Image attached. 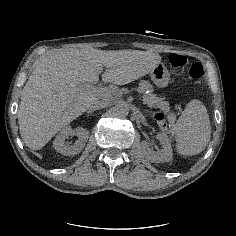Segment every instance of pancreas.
I'll use <instances>...</instances> for the list:
<instances>
[{
    "instance_id": "cf45deb5",
    "label": "pancreas",
    "mask_w": 236,
    "mask_h": 236,
    "mask_svg": "<svg viewBox=\"0 0 236 236\" xmlns=\"http://www.w3.org/2000/svg\"><path fill=\"white\" fill-rule=\"evenodd\" d=\"M148 87H150V84L146 81H141L139 84L136 85V90L138 93H144L145 90H148ZM127 92L124 89L121 90H112L110 93L105 94L103 97L105 101L111 102L112 99H119L126 97ZM143 103L146 104L150 108H160L161 105L165 104L164 98H159L151 92V96L149 95H143Z\"/></svg>"
}]
</instances>
